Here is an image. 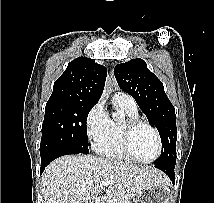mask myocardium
<instances>
[{
  "mask_svg": "<svg viewBox=\"0 0 214 203\" xmlns=\"http://www.w3.org/2000/svg\"><path fill=\"white\" fill-rule=\"evenodd\" d=\"M141 126L148 127L155 135L156 142H157V151L153 158L149 160H142L137 158L131 148V139L134 131ZM121 142L122 148L125 154L128 156L129 159L133 160L134 162L141 163V164H151L155 162L161 155L162 152V140L158 130L148 123L147 121L141 119H129L123 123L122 133H121Z\"/></svg>",
  "mask_w": 214,
  "mask_h": 203,
  "instance_id": "myocardium-1",
  "label": "myocardium"
}]
</instances>
